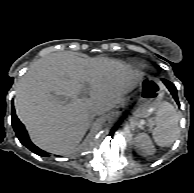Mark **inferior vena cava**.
Returning a JSON list of instances; mask_svg holds the SVG:
<instances>
[{
    "label": "inferior vena cava",
    "mask_w": 194,
    "mask_h": 193,
    "mask_svg": "<svg viewBox=\"0 0 194 193\" xmlns=\"http://www.w3.org/2000/svg\"><path fill=\"white\" fill-rule=\"evenodd\" d=\"M100 114V111H96L92 113V117L97 118Z\"/></svg>",
    "instance_id": "inferior-vena-cava-1"
}]
</instances>
